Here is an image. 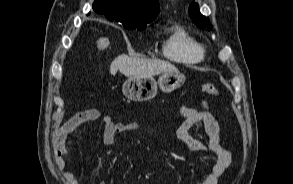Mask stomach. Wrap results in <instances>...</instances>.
I'll list each match as a JSON object with an SVG mask.
<instances>
[{
  "instance_id": "0dacf381",
  "label": "stomach",
  "mask_w": 293,
  "mask_h": 184,
  "mask_svg": "<svg viewBox=\"0 0 293 184\" xmlns=\"http://www.w3.org/2000/svg\"><path fill=\"white\" fill-rule=\"evenodd\" d=\"M184 82L185 76L180 72H164L157 81L153 76H135L124 82L122 92L129 100L143 102L154 98L158 87L164 93H170L180 88Z\"/></svg>"
}]
</instances>
